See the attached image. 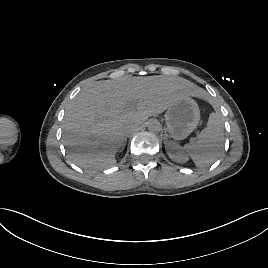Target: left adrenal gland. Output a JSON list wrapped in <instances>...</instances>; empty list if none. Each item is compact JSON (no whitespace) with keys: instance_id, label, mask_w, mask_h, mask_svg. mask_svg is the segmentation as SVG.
Here are the masks:
<instances>
[{"instance_id":"a2214340","label":"left adrenal gland","mask_w":268,"mask_h":268,"mask_svg":"<svg viewBox=\"0 0 268 268\" xmlns=\"http://www.w3.org/2000/svg\"><path fill=\"white\" fill-rule=\"evenodd\" d=\"M164 139H165V142H166V140H167V133H165Z\"/></svg>"}]
</instances>
